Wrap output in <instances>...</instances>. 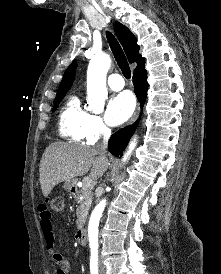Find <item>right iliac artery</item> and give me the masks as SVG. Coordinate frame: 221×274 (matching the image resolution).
Returning a JSON list of instances; mask_svg holds the SVG:
<instances>
[{"mask_svg":"<svg viewBox=\"0 0 221 274\" xmlns=\"http://www.w3.org/2000/svg\"><path fill=\"white\" fill-rule=\"evenodd\" d=\"M90 272L91 274H98V257L91 256L90 258Z\"/></svg>","mask_w":221,"mask_h":274,"instance_id":"1","label":"right iliac artery"}]
</instances>
